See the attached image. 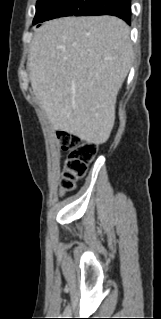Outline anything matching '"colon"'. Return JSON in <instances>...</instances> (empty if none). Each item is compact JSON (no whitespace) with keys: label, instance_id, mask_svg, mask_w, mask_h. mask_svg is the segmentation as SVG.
<instances>
[{"label":"colon","instance_id":"1","mask_svg":"<svg viewBox=\"0 0 161 319\" xmlns=\"http://www.w3.org/2000/svg\"><path fill=\"white\" fill-rule=\"evenodd\" d=\"M58 139L61 148L69 152L62 169L60 188L62 192H70L85 176L88 164L96 156L97 145L68 133H60Z\"/></svg>","mask_w":161,"mask_h":319}]
</instances>
